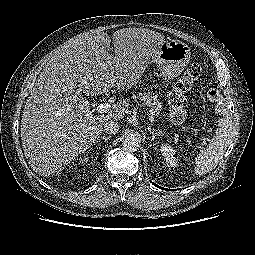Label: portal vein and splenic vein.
Instances as JSON below:
<instances>
[{
  "instance_id": "1",
  "label": "portal vein and splenic vein",
  "mask_w": 255,
  "mask_h": 255,
  "mask_svg": "<svg viewBox=\"0 0 255 255\" xmlns=\"http://www.w3.org/2000/svg\"><path fill=\"white\" fill-rule=\"evenodd\" d=\"M111 109H112V106L110 105V104H108V103H102V104H100L98 107H97V113H108V112H110L111 111ZM149 120L151 121V122H153L154 121V116H153V112L151 111V114L149 115ZM202 140H204L205 141V138H203Z\"/></svg>"
}]
</instances>
